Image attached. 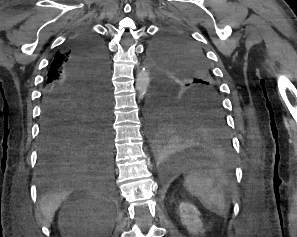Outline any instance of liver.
<instances>
[{"instance_id":"6515ba94","label":"liver","mask_w":297,"mask_h":237,"mask_svg":"<svg viewBox=\"0 0 297 237\" xmlns=\"http://www.w3.org/2000/svg\"><path fill=\"white\" fill-rule=\"evenodd\" d=\"M90 177L83 175H71L63 178V188L57 192L42 198L40 203L42 216L47 224L53 221L55 212L61 202L74 190L83 189L90 185Z\"/></svg>"}]
</instances>
